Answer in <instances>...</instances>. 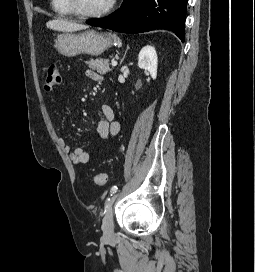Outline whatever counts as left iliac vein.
Wrapping results in <instances>:
<instances>
[{"label":"left iliac vein","instance_id":"obj_1","mask_svg":"<svg viewBox=\"0 0 255 272\" xmlns=\"http://www.w3.org/2000/svg\"><path fill=\"white\" fill-rule=\"evenodd\" d=\"M117 199V195L111 197L109 202V207L107 212L103 218L102 222V230L105 237H112L114 233V223H113V213H112V206Z\"/></svg>","mask_w":255,"mask_h":272}]
</instances>
